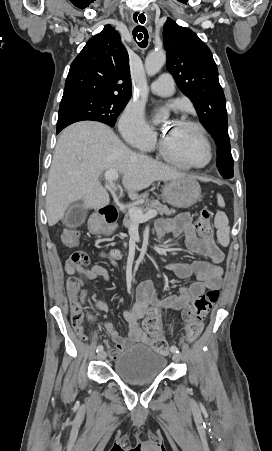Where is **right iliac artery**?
<instances>
[{
    "mask_svg": "<svg viewBox=\"0 0 272 451\" xmlns=\"http://www.w3.org/2000/svg\"><path fill=\"white\" fill-rule=\"evenodd\" d=\"M103 346L102 345H98L97 346V349H96V352L98 353V352H101V351H103Z\"/></svg>",
    "mask_w": 272,
    "mask_h": 451,
    "instance_id": "right-iliac-artery-1",
    "label": "right iliac artery"
}]
</instances>
